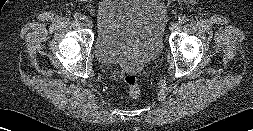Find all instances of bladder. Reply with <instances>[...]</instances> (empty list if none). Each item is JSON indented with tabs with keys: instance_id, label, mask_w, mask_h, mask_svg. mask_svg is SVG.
<instances>
[{
	"instance_id": "31cf9c89",
	"label": "bladder",
	"mask_w": 253,
	"mask_h": 131,
	"mask_svg": "<svg viewBox=\"0 0 253 131\" xmlns=\"http://www.w3.org/2000/svg\"><path fill=\"white\" fill-rule=\"evenodd\" d=\"M162 0H103L95 9L93 51L102 64H142L163 50Z\"/></svg>"
}]
</instances>
